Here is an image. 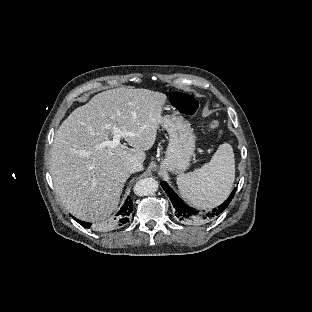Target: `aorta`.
Listing matches in <instances>:
<instances>
[{
  "label": "aorta",
  "instance_id": "762f6f07",
  "mask_svg": "<svg viewBox=\"0 0 312 312\" xmlns=\"http://www.w3.org/2000/svg\"><path fill=\"white\" fill-rule=\"evenodd\" d=\"M133 190L137 196L152 195L158 190V182L153 178H144L135 184Z\"/></svg>",
  "mask_w": 312,
  "mask_h": 312
}]
</instances>
